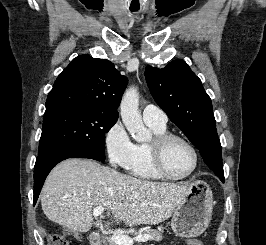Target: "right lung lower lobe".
I'll return each mask as SVG.
<instances>
[{"label":"right lung lower lobe","mask_w":266,"mask_h":245,"mask_svg":"<svg viewBox=\"0 0 266 245\" xmlns=\"http://www.w3.org/2000/svg\"><path fill=\"white\" fill-rule=\"evenodd\" d=\"M68 158H91L100 161L96 156L89 152L69 148H58L38 155L34 168L33 205L36 204L45 178L47 177L51 169L62 160Z\"/></svg>","instance_id":"98d812e1"}]
</instances>
